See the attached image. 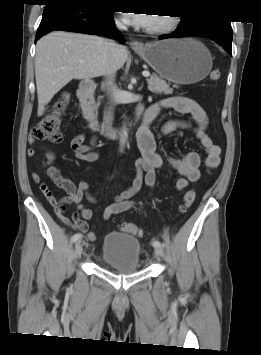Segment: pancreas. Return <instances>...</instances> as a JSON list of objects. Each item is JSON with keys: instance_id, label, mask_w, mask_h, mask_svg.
<instances>
[{"instance_id": "1", "label": "pancreas", "mask_w": 261, "mask_h": 355, "mask_svg": "<svg viewBox=\"0 0 261 355\" xmlns=\"http://www.w3.org/2000/svg\"><path fill=\"white\" fill-rule=\"evenodd\" d=\"M148 89L152 93L169 95L173 93V89L169 87V84L165 80L161 79L156 74L147 79ZM177 87V86H175ZM100 102H98V105Z\"/></svg>"}]
</instances>
